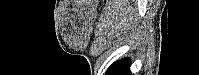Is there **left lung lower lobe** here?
Segmentation results:
<instances>
[{
	"label": "left lung lower lobe",
	"instance_id": "1",
	"mask_svg": "<svg viewBox=\"0 0 199 75\" xmlns=\"http://www.w3.org/2000/svg\"><path fill=\"white\" fill-rule=\"evenodd\" d=\"M131 61L128 58L113 63L106 72V75H131Z\"/></svg>",
	"mask_w": 199,
	"mask_h": 75
}]
</instances>
